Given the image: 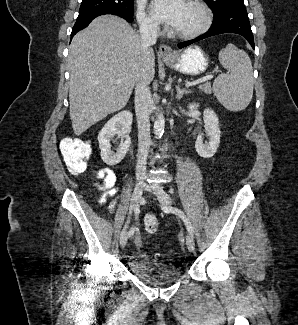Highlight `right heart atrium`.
Returning <instances> with one entry per match:
<instances>
[{
  "label": "right heart atrium",
  "instance_id": "1",
  "mask_svg": "<svg viewBox=\"0 0 298 325\" xmlns=\"http://www.w3.org/2000/svg\"><path fill=\"white\" fill-rule=\"evenodd\" d=\"M138 21L141 30H158V26L152 17L146 12L145 3L139 2L138 4Z\"/></svg>",
  "mask_w": 298,
  "mask_h": 325
}]
</instances>
